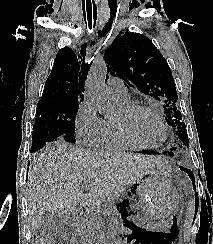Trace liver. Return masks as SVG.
<instances>
[{
  "label": "liver",
  "mask_w": 213,
  "mask_h": 244,
  "mask_svg": "<svg viewBox=\"0 0 213 244\" xmlns=\"http://www.w3.org/2000/svg\"><path fill=\"white\" fill-rule=\"evenodd\" d=\"M166 167L161 157L92 152L63 141L55 142L36 157L28 174L31 230L40 227L48 211L69 215L79 203L100 205L124 192L138 178ZM84 187L89 189L86 195Z\"/></svg>",
  "instance_id": "obj_1"
}]
</instances>
